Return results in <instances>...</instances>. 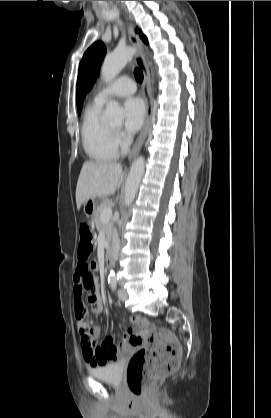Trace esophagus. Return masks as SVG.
<instances>
[{
	"instance_id": "1",
	"label": "esophagus",
	"mask_w": 271,
	"mask_h": 418,
	"mask_svg": "<svg viewBox=\"0 0 271 418\" xmlns=\"http://www.w3.org/2000/svg\"><path fill=\"white\" fill-rule=\"evenodd\" d=\"M128 34H129V40L131 44L136 49L135 54V62L138 65V67L143 72L144 81H143V95L146 102V120L144 127L137 138V141L132 149V151L129 154V158H131L133 155L138 153L146 140V137L148 135V131L150 128L151 123V117L153 112V102H152V96H151V84H150V75H149V69L147 66L146 59L143 54V45L138 37V35L135 33L134 25L131 21H128Z\"/></svg>"
}]
</instances>
